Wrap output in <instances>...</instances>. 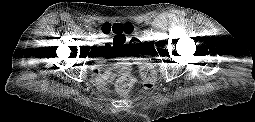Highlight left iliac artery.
<instances>
[{
  "label": "left iliac artery",
  "instance_id": "left-iliac-artery-1",
  "mask_svg": "<svg viewBox=\"0 0 255 122\" xmlns=\"http://www.w3.org/2000/svg\"><path fill=\"white\" fill-rule=\"evenodd\" d=\"M152 33V28H150V29H148L147 31H146V34H148V35H150Z\"/></svg>",
  "mask_w": 255,
  "mask_h": 122
}]
</instances>
